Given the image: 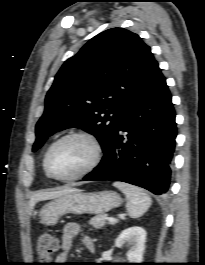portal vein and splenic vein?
Returning a JSON list of instances; mask_svg holds the SVG:
<instances>
[{"label":"portal vein and splenic vein","mask_w":205,"mask_h":265,"mask_svg":"<svg viewBox=\"0 0 205 265\" xmlns=\"http://www.w3.org/2000/svg\"><path fill=\"white\" fill-rule=\"evenodd\" d=\"M108 221H109L110 223H114V222H116V219L113 218V217H109V218H108Z\"/></svg>","instance_id":"obj_1"}]
</instances>
